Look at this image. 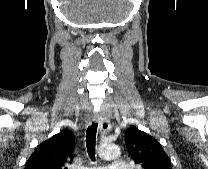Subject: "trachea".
<instances>
[{"mask_svg": "<svg viewBox=\"0 0 208 169\" xmlns=\"http://www.w3.org/2000/svg\"><path fill=\"white\" fill-rule=\"evenodd\" d=\"M98 124L92 122V125L87 128L86 131V147L87 152L91 160L95 159V144H96V133Z\"/></svg>", "mask_w": 208, "mask_h": 169, "instance_id": "obj_1", "label": "trachea"}]
</instances>
